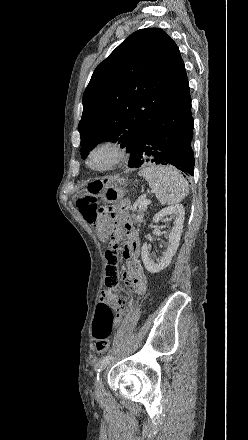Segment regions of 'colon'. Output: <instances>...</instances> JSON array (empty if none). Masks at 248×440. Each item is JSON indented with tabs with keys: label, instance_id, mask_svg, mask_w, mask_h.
<instances>
[{
	"label": "colon",
	"instance_id": "1",
	"mask_svg": "<svg viewBox=\"0 0 248 440\" xmlns=\"http://www.w3.org/2000/svg\"><path fill=\"white\" fill-rule=\"evenodd\" d=\"M100 189L101 183L97 181L91 182L88 186L91 194L97 193ZM77 207L83 218L94 225L98 236L109 241V249L105 253L106 263L109 257H118V251L121 248L120 242L114 232L113 223L105 217L104 210L95 204L94 198L91 196L81 197L77 201ZM114 319L110 306L103 301H99L93 323V335L96 339L98 354H104L109 349V336L114 326Z\"/></svg>",
	"mask_w": 248,
	"mask_h": 440
}]
</instances>
